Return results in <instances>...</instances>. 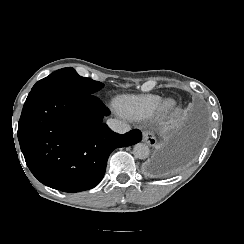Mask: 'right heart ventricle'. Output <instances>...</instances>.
Wrapping results in <instances>:
<instances>
[{
	"label": "right heart ventricle",
	"instance_id": "right-heart-ventricle-1",
	"mask_svg": "<svg viewBox=\"0 0 244 244\" xmlns=\"http://www.w3.org/2000/svg\"><path fill=\"white\" fill-rule=\"evenodd\" d=\"M158 96H123L117 99L116 112L128 120L149 119L160 104Z\"/></svg>",
	"mask_w": 244,
	"mask_h": 244
}]
</instances>
